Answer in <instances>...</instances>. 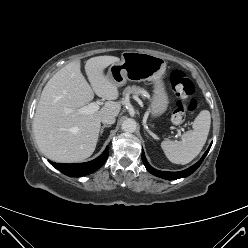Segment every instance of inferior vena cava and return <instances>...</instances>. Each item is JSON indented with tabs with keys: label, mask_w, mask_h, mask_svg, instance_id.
<instances>
[{
	"label": "inferior vena cava",
	"mask_w": 248,
	"mask_h": 248,
	"mask_svg": "<svg viewBox=\"0 0 248 248\" xmlns=\"http://www.w3.org/2000/svg\"><path fill=\"white\" fill-rule=\"evenodd\" d=\"M101 122L103 124H108V125H111V124H114L115 123V116L113 115H105L101 118Z\"/></svg>",
	"instance_id": "602c4592"
}]
</instances>
